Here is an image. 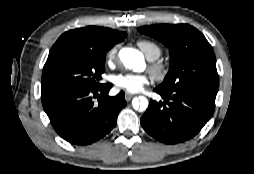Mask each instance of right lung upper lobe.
<instances>
[{
    "instance_id": "cb5924a9",
    "label": "right lung upper lobe",
    "mask_w": 254,
    "mask_h": 174,
    "mask_svg": "<svg viewBox=\"0 0 254 174\" xmlns=\"http://www.w3.org/2000/svg\"><path fill=\"white\" fill-rule=\"evenodd\" d=\"M126 32H119L105 27L89 26L65 32L57 42L74 41L97 51H108L115 44L122 42Z\"/></svg>"
}]
</instances>
